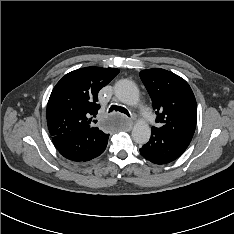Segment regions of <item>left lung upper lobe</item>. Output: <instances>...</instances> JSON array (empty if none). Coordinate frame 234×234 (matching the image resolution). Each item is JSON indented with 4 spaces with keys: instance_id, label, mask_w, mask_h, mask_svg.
<instances>
[{
    "instance_id": "left-lung-upper-lobe-1",
    "label": "left lung upper lobe",
    "mask_w": 234,
    "mask_h": 234,
    "mask_svg": "<svg viewBox=\"0 0 234 234\" xmlns=\"http://www.w3.org/2000/svg\"><path fill=\"white\" fill-rule=\"evenodd\" d=\"M156 110V122L152 127L178 144L183 150L189 146L197 120V104L189 84L180 76L164 69H148L140 72Z\"/></svg>"
}]
</instances>
